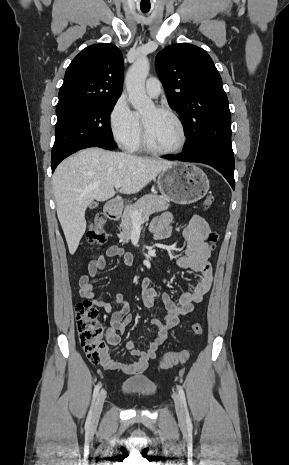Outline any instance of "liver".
Here are the masks:
<instances>
[{
  "instance_id": "liver-1",
  "label": "liver",
  "mask_w": 289,
  "mask_h": 465,
  "mask_svg": "<svg viewBox=\"0 0 289 465\" xmlns=\"http://www.w3.org/2000/svg\"><path fill=\"white\" fill-rule=\"evenodd\" d=\"M172 164L100 148L84 149L62 161L53 175V193L70 254L85 233V211L93 200L112 198L117 181H122L119 193L135 194Z\"/></svg>"
}]
</instances>
